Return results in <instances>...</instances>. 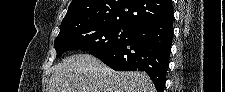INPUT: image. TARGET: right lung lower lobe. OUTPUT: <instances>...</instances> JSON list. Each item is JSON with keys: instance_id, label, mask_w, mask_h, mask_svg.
<instances>
[{"instance_id": "98d812e1", "label": "right lung lower lobe", "mask_w": 225, "mask_h": 92, "mask_svg": "<svg viewBox=\"0 0 225 92\" xmlns=\"http://www.w3.org/2000/svg\"><path fill=\"white\" fill-rule=\"evenodd\" d=\"M173 39V19L141 25L123 43L91 53L118 71H145L163 92Z\"/></svg>"}]
</instances>
